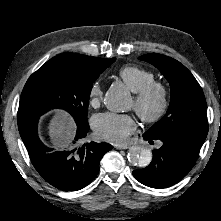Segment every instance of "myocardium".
Wrapping results in <instances>:
<instances>
[{"label": "myocardium", "mask_w": 221, "mask_h": 221, "mask_svg": "<svg viewBox=\"0 0 221 221\" xmlns=\"http://www.w3.org/2000/svg\"><path fill=\"white\" fill-rule=\"evenodd\" d=\"M152 99L157 100L153 111H148V104ZM133 109L138 117L145 123H156L166 114L169 107V93L166 86L160 82L152 81L134 93Z\"/></svg>", "instance_id": "f54148a6"}]
</instances>
